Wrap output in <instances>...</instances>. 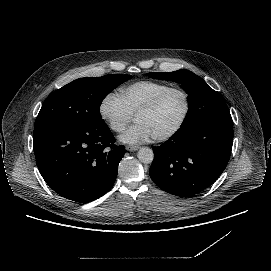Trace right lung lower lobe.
<instances>
[{
	"label": "right lung lower lobe",
	"instance_id": "obj_1",
	"mask_svg": "<svg viewBox=\"0 0 271 271\" xmlns=\"http://www.w3.org/2000/svg\"><path fill=\"white\" fill-rule=\"evenodd\" d=\"M105 122L85 126L48 122L34 127L36 163L46 183L69 200L86 203L108 192L117 176L124 146Z\"/></svg>",
	"mask_w": 271,
	"mask_h": 271
}]
</instances>
